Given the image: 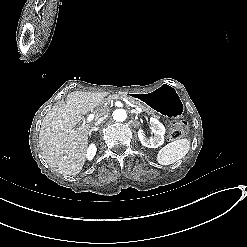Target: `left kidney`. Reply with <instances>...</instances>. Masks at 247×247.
I'll return each mask as SVG.
<instances>
[{
	"label": "left kidney",
	"instance_id": "obj_1",
	"mask_svg": "<svg viewBox=\"0 0 247 247\" xmlns=\"http://www.w3.org/2000/svg\"><path fill=\"white\" fill-rule=\"evenodd\" d=\"M150 123L152 125L151 130L154 133V137L146 138L142 130L138 131V138L141 144L148 148H157L164 143L165 127L156 118H151Z\"/></svg>",
	"mask_w": 247,
	"mask_h": 247
}]
</instances>
